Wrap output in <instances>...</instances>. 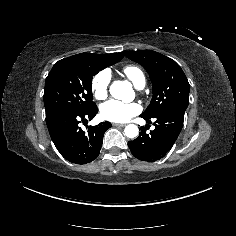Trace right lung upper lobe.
<instances>
[{"label": "right lung upper lobe", "instance_id": "1", "mask_svg": "<svg viewBox=\"0 0 236 236\" xmlns=\"http://www.w3.org/2000/svg\"><path fill=\"white\" fill-rule=\"evenodd\" d=\"M85 54H90V53H81V54H77V55H85ZM124 52L121 53H112V54H98V55H106V56H110L113 58H123L124 57Z\"/></svg>", "mask_w": 236, "mask_h": 236}]
</instances>
